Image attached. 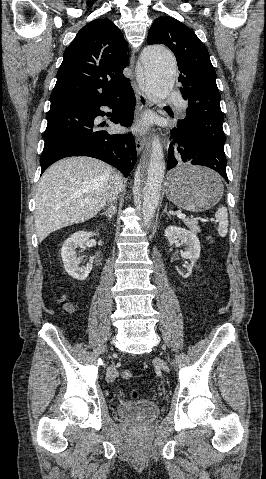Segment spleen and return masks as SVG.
<instances>
[{
    "label": "spleen",
    "mask_w": 266,
    "mask_h": 479,
    "mask_svg": "<svg viewBox=\"0 0 266 479\" xmlns=\"http://www.w3.org/2000/svg\"><path fill=\"white\" fill-rule=\"evenodd\" d=\"M215 218L219 222L218 233L221 237H225L228 232V213L227 209L223 206L219 207L215 213Z\"/></svg>",
    "instance_id": "spleen-1"
}]
</instances>
